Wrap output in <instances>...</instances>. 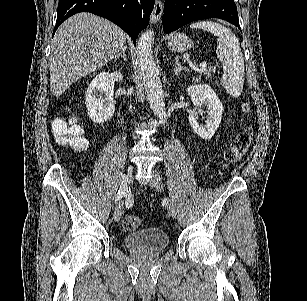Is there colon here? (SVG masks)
<instances>
[{"instance_id": "colon-1", "label": "colon", "mask_w": 307, "mask_h": 301, "mask_svg": "<svg viewBox=\"0 0 307 301\" xmlns=\"http://www.w3.org/2000/svg\"><path fill=\"white\" fill-rule=\"evenodd\" d=\"M247 109V105L244 106V110ZM52 128L57 142L61 145L83 149L88 144L82 128L73 119L58 118L54 120ZM251 142L252 136L248 130L240 132L224 154L225 165L237 163L247 153ZM142 225L143 219L137 215H129L124 220V227L129 231L137 230Z\"/></svg>"}]
</instances>
